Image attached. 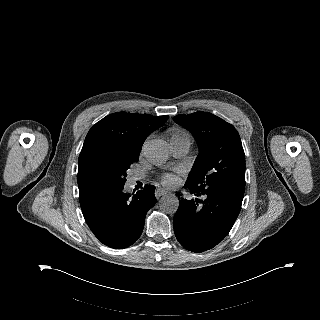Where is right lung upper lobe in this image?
<instances>
[{"mask_svg":"<svg viewBox=\"0 0 320 320\" xmlns=\"http://www.w3.org/2000/svg\"><path fill=\"white\" fill-rule=\"evenodd\" d=\"M168 116L117 112L97 122L88 132L78 160V185L95 180V161L108 155L140 154L147 136Z\"/></svg>","mask_w":320,"mask_h":320,"instance_id":"cb5924a9","label":"right lung upper lobe"}]
</instances>
